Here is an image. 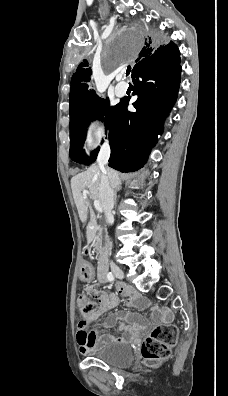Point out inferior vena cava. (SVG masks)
<instances>
[{"label":"inferior vena cava","mask_w":228,"mask_h":396,"mask_svg":"<svg viewBox=\"0 0 228 396\" xmlns=\"http://www.w3.org/2000/svg\"><path fill=\"white\" fill-rule=\"evenodd\" d=\"M110 157V146L108 143L104 144L100 150L97 158L98 166L102 172L100 181V197L102 208L105 213L106 222L110 223L113 220L112 209L114 207V193L110 186L109 178L106 175L105 165L108 163Z\"/></svg>","instance_id":"inferior-vena-cava-1"}]
</instances>
